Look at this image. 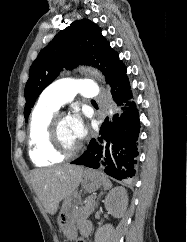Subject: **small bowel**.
I'll return each instance as SVG.
<instances>
[{
    "mask_svg": "<svg viewBox=\"0 0 187 242\" xmlns=\"http://www.w3.org/2000/svg\"><path fill=\"white\" fill-rule=\"evenodd\" d=\"M80 233L83 237L88 236L92 230V225L88 221H84L80 224Z\"/></svg>",
    "mask_w": 187,
    "mask_h": 242,
    "instance_id": "c3829d8e",
    "label": "small bowel"
}]
</instances>
